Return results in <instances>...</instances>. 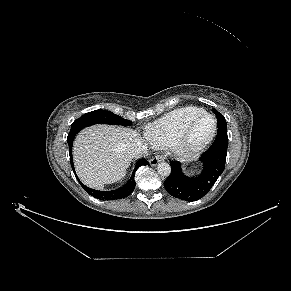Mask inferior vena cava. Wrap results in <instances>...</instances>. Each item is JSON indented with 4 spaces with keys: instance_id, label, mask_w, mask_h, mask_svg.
<instances>
[{
    "instance_id": "602c4592",
    "label": "inferior vena cava",
    "mask_w": 291,
    "mask_h": 291,
    "mask_svg": "<svg viewBox=\"0 0 291 291\" xmlns=\"http://www.w3.org/2000/svg\"><path fill=\"white\" fill-rule=\"evenodd\" d=\"M129 154L132 158L138 159L148 155L147 144L142 141H134L129 146Z\"/></svg>"
}]
</instances>
